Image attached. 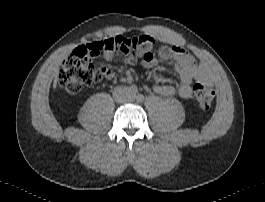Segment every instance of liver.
Instances as JSON below:
<instances>
[{
    "mask_svg": "<svg viewBox=\"0 0 265 202\" xmlns=\"http://www.w3.org/2000/svg\"><path fill=\"white\" fill-rule=\"evenodd\" d=\"M58 74H59V68L56 69L55 75H54V81H53V88L55 89L57 86V81H58Z\"/></svg>",
    "mask_w": 265,
    "mask_h": 202,
    "instance_id": "6515ba94",
    "label": "liver"
}]
</instances>
